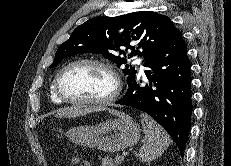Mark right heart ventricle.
Returning <instances> with one entry per match:
<instances>
[{"label":"right heart ventricle","mask_w":231,"mask_h":166,"mask_svg":"<svg viewBox=\"0 0 231 166\" xmlns=\"http://www.w3.org/2000/svg\"><path fill=\"white\" fill-rule=\"evenodd\" d=\"M50 96H51V99L53 102L55 103H61L62 101L58 98V96L56 95L55 91H54V87H53V84L51 86V89H50Z\"/></svg>","instance_id":"1"}]
</instances>
